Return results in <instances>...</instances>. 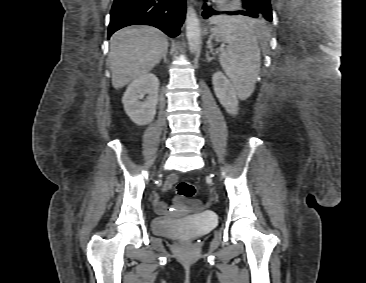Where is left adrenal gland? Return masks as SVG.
Here are the masks:
<instances>
[{"instance_id": "a2214340", "label": "left adrenal gland", "mask_w": 366, "mask_h": 283, "mask_svg": "<svg viewBox=\"0 0 366 283\" xmlns=\"http://www.w3.org/2000/svg\"><path fill=\"white\" fill-rule=\"evenodd\" d=\"M206 59H207L208 62H210L212 59H214L213 57H210L209 56V52L208 51L206 53Z\"/></svg>"}]
</instances>
